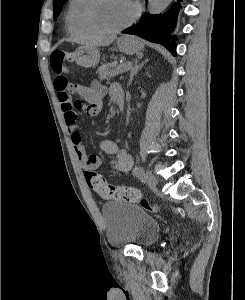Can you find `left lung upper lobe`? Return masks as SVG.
Wrapping results in <instances>:
<instances>
[{
    "label": "left lung upper lobe",
    "instance_id": "5c2ea615",
    "mask_svg": "<svg viewBox=\"0 0 245 300\" xmlns=\"http://www.w3.org/2000/svg\"><path fill=\"white\" fill-rule=\"evenodd\" d=\"M66 0H55L54 1V19H56L61 10H62V5L65 3Z\"/></svg>",
    "mask_w": 245,
    "mask_h": 300
}]
</instances>
